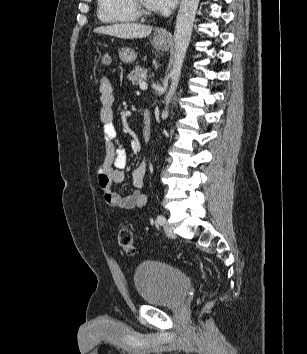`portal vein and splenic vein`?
<instances>
[{
	"label": "portal vein and splenic vein",
	"mask_w": 307,
	"mask_h": 354,
	"mask_svg": "<svg viewBox=\"0 0 307 354\" xmlns=\"http://www.w3.org/2000/svg\"><path fill=\"white\" fill-rule=\"evenodd\" d=\"M139 87L141 90H146L147 89V83L142 81L140 84H139Z\"/></svg>",
	"instance_id": "obj_1"
}]
</instances>
